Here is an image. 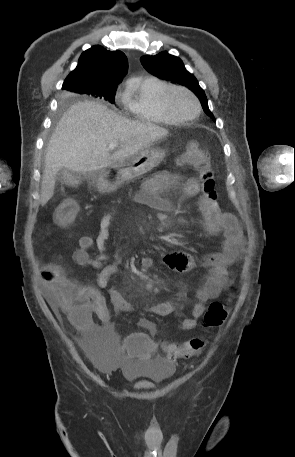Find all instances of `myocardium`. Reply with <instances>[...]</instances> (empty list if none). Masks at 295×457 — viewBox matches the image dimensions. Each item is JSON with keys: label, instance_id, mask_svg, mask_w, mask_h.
<instances>
[{"label": "myocardium", "instance_id": "f54148a6", "mask_svg": "<svg viewBox=\"0 0 295 457\" xmlns=\"http://www.w3.org/2000/svg\"><path fill=\"white\" fill-rule=\"evenodd\" d=\"M175 92H184L187 95H189L192 100L194 101L195 104V113L190 116V117H182L179 116L173 109L172 104H171V97ZM161 101L163 104V107L165 111L177 122H190L196 119L200 112H201V104L197 96L188 88L182 87V86H177V85H170L167 89L164 90V92L161 95Z\"/></svg>", "mask_w": 295, "mask_h": 457}]
</instances>
